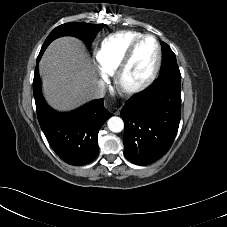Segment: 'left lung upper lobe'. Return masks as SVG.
<instances>
[{
  "mask_svg": "<svg viewBox=\"0 0 227 227\" xmlns=\"http://www.w3.org/2000/svg\"><path fill=\"white\" fill-rule=\"evenodd\" d=\"M163 48V63L161 72L154 82L156 83H173L175 85L181 84V74L177 65L176 57L171 48L164 42L161 43Z\"/></svg>",
  "mask_w": 227,
  "mask_h": 227,
  "instance_id": "obj_1",
  "label": "left lung upper lobe"
}]
</instances>
